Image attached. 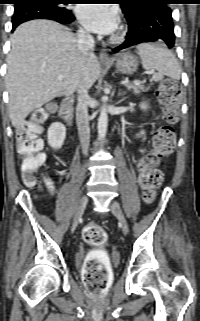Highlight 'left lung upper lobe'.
<instances>
[{"label":"left lung upper lobe","mask_w":200,"mask_h":321,"mask_svg":"<svg viewBox=\"0 0 200 321\" xmlns=\"http://www.w3.org/2000/svg\"><path fill=\"white\" fill-rule=\"evenodd\" d=\"M151 0H120L121 8L123 12H127L132 8H140L145 6L146 2ZM162 2V4H165L169 6V4H172L174 0H156Z\"/></svg>","instance_id":"obj_1"}]
</instances>
